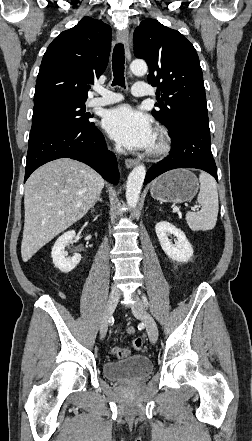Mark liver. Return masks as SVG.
I'll return each instance as SVG.
<instances>
[{
    "mask_svg": "<svg viewBox=\"0 0 252 441\" xmlns=\"http://www.w3.org/2000/svg\"><path fill=\"white\" fill-rule=\"evenodd\" d=\"M104 185L95 170L70 158L51 161L34 171L24 192L23 261L84 217Z\"/></svg>",
    "mask_w": 252,
    "mask_h": 441,
    "instance_id": "obj_1",
    "label": "liver"
}]
</instances>
